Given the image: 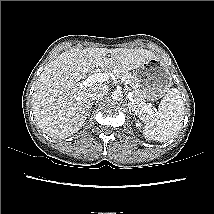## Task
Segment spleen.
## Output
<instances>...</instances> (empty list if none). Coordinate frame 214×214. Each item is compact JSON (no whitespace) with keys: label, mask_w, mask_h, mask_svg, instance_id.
<instances>
[{"label":"spleen","mask_w":214,"mask_h":214,"mask_svg":"<svg viewBox=\"0 0 214 214\" xmlns=\"http://www.w3.org/2000/svg\"><path fill=\"white\" fill-rule=\"evenodd\" d=\"M184 119V103L177 88H172L160 102L157 115L145 116L144 134L148 140L165 142L178 135Z\"/></svg>","instance_id":"1"}]
</instances>
